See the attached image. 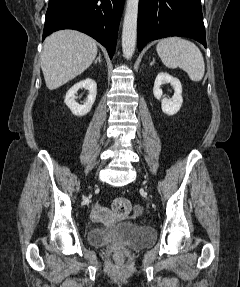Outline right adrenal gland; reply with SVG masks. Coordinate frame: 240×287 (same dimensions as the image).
<instances>
[{"label": "right adrenal gland", "instance_id": "2a0ac1e0", "mask_svg": "<svg viewBox=\"0 0 240 287\" xmlns=\"http://www.w3.org/2000/svg\"><path fill=\"white\" fill-rule=\"evenodd\" d=\"M97 61H98L99 63H101V54H100V53H99L97 59L95 60V63H97Z\"/></svg>", "mask_w": 240, "mask_h": 287}]
</instances>
